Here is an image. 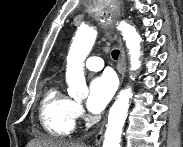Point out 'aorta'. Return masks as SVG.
Wrapping results in <instances>:
<instances>
[{
  "instance_id": "762f6f07",
  "label": "aorta",
  "mask_w": 183,
  "mask_h": 147,
  "mask_svg": "<svg viewBox=\"0 0 183 147\" xmlns=\"http://www.w3.org/2000/svg\"><path fill=\"white\" fill-rule=\"evenodd\" d=\"M118 29L121 30L129 50L130 69L136 71L141 66L140 36L136 29L126 22H120ZM96 36V29L86 26L80 27L73 38L67 56L66 68L68 94L73 98H86L88 96L89 91L83 72V64L94 45ZM131 96V87L121 90L117 95L109 111L103 147H120L122 128L127 118Z\"/></svg>"
}]
</instances>
